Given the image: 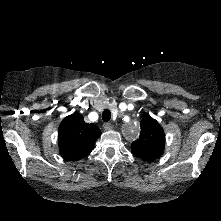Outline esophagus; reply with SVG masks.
<instances>
[{
  "instance_id": "1",
  "label": "esophagus",
  "mask_w": 221,
  "mask_h": 221,
  "mask_svg": "<svg viewBox=\"0 0 221 221\" xmlns=\"http://www.w3.org/2000/svg\"><path fill=\"white\" fill-rule=\"evenodd\" d=\"M103 128L105 130H110V129H112V124L110 122H106L103 124Z\"/></svg>"
}]
</instances>
